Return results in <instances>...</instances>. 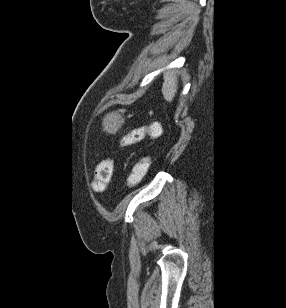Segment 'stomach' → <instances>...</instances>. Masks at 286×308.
<instances>
[{
    "mask_svg": "<svg viewBox=\"0 0 286 308\" xmlns=\"http://www.w3.org/2000/svg\"><path fill=\"white\" fill-rule=\"evenodd\" d=\"M102 130L103 132H117L118 127L117 125H103Z\"/></svg>",
    "mask_w": 286,
    "mask_h": 308,
    "instance_id": "stomach-1",
    "label": "stomach"
}]
</instances>
